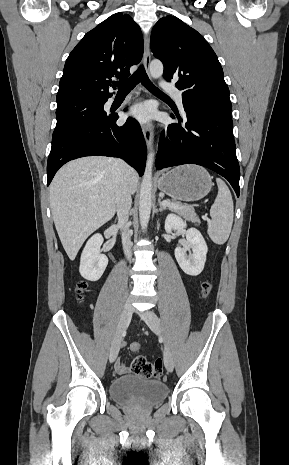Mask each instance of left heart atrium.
I'll return each mask as SVG.
<instances>
[{
    "mask_svg": "<svg viewBox=\"0 0 289 465\" xmlns=\"http://www.w3.org/2000/svg\"><path fill=\"white\" fill-rule=\"evenodd\" d=\"M153 114L149 104H137L130 108L128 115L141 123H147Z\"/></svg>",
    "mask_w": 289,
    "mask_h": 465,
    "instance_id": "left-heart-atrium-1",
    "label": "left heart atrium"
}]
</instances>
